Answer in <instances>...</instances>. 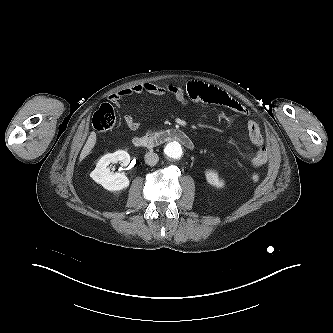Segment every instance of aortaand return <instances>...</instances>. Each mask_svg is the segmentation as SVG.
<instances>
[{
	"label": "aorta",
	"instance_id": "1",
	"mask_svg": "<svg viewBox=\"0 0 333 333\" xmlns=\"http://www.w3.org/2000/svg\"><path fill=\"white\" fill-rule=\"evenodd\" d=\"M165 154L170 159H180L183 155V147L178 141H173L165 147Z\"/></svg>",
	"mask_w": 333,
	"mask_h": 333
}]
</instances>
